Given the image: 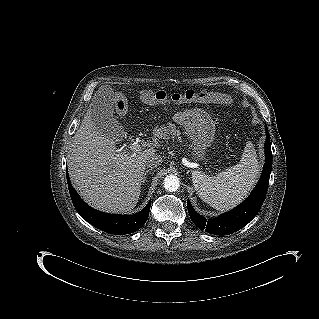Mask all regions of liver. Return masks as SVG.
<instances>
[{"label":"liver","instance_id":"6515ba94","mask_svg":"<svg viewBox=\"0 0 319 319\" xmlns=\"http://www.w3.org/2000/svg\"><path fill=\"white\" fill-rule=\"evenodd\" d=\"M121 135L97 131L90 104L69 151L71 182L87 204L103 212L132 211L139 200L146 160L156 152L155 144L139 152L119 151L116 143Z\"/></svg>","mask_w":319,"mask_h":319}]
</instances>
